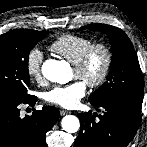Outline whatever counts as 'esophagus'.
I'll return each instance as SVG.
<instances>
[{
	"mask_svg": "<svg viewBox=\"0 0 147 147\" xmlns=\"http://www.w3.org/2000/svg\"><path fill=\"white\" fill-rule=\"evenodd\" d=\"M68 113H69V111H67V110H60V115L61 116H64V115H66Z\"/></svg>",
	"mask_w": 147,
	"mask_h": 147,
	"instance_id": "esophagus-1",
	"label": "esophagus"
}]
</instances>
